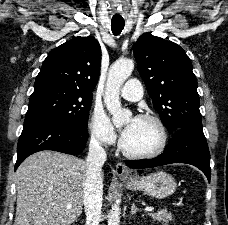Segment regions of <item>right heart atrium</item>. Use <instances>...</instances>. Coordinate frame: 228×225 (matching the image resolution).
I'll use <instances>...</instances> for the list:
<instances>
[{"label": "right heart atrium", "mask_w": 228, "mask_h": 225, "mask_svg": "<svg viewBox=\"0 0 228 225\" xmlns=\"http://www.w3.org/2000/svg\"><path fill=\"white\" fill-rule=\"evenodd\" d=\"M88 130L91 138L100 145L110 146L116 142V133L103 110L98 107L90 112Z\"/></svg>", "instance_id": "1"}]
</instances>
